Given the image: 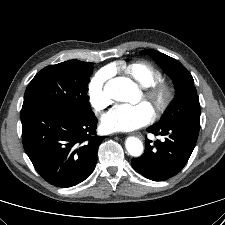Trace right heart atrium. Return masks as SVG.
Segmentation results:
<instances>
[{
    "instance_id": "d8ad5b80",
    "label": "right heart atrium",
    "mask_w": 225,
    "mask_h": 225,
    "mask_svg": "<svg viewBox=\"0 0 225 225\" xmlns=\"http://www.w3.org/2000/svg\"><path fill=\"white\" fill-rule=\"evenodd\" d=\"M111 75V70L106 68L98 71L90 80L88 87V96L91 107L96 112L106 109L111 100L107 93L106 85Z\"/></svg>"
}]
</instances>
